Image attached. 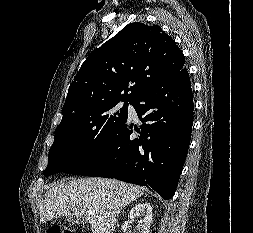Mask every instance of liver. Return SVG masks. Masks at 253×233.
Segmentation results:
<instances>
[{"label": "liver", "instance_id": "obj_1", "mask_svg": "<svg viewBox=\"0 0 253 233\" xmlns=\"http://www.w3.org/2000/svg\"><path fill=\"white\" fill-rule=\"evenodd\" d=\"M142 195L140 187L114 179L66 178L44 194L40 222L85 216L92 233H113L121 210Z\"/></svg>", "mask_w": 253, "mask_h": 233}]
</instances>
